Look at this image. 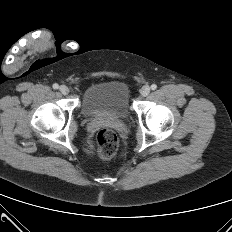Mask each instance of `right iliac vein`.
Masks as SVG:
<instances>
[{
	"label": "right iliac vein",
	"instance_id": "right-iliac-vein-1",
	"mask_svg": "<svg viewBox=\"0 0 232 232\" xmlns=\"http://www.w3.org/2000/svg\"><path fill=\"white\" fill-rule=\"evenodd\" d=\"M59 90H60V92H61L62 94H64V95H66V94L69 93V88H68L66 85H61V86L59 87Z\"/></svg>",
	"mask_w": 232,
	"mask_h": 232
}]
</instances>
